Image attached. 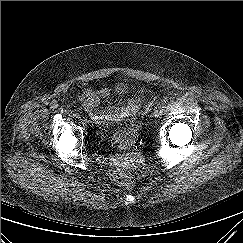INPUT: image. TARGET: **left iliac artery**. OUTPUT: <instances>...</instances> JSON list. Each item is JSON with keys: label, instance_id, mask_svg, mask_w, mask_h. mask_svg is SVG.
<instances>
[{"label": "left iliac artery", "instance_id": "1", "mask_svg": "<svg viewBox=\"0 0 243 243\" xmlns=\"http://www.w3.org/2000/svg\"><path fill=\"white\" fill-rule=\"evenodd\" d=\"M164 110H165V106H162L161 109H160L161 113H162Z\"/></svg>", "mask_w": 243, "mask_h": 243}]
</instances>
